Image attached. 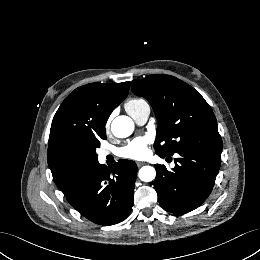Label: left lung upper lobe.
<instances>
[{
	"mask_svg": "<svg viewBox=\"0 0 260 260\" xmlns=\"http://www.w3.org/2000/svg\"><path fill=\"white\" fill-rule=\"evenodd\" d=\"M132 91L146 98L157 117V155L190 149L222 150L215 115L193 87L170 75H150L131 82Z\"/></svg>",
	"mask_w": 260,
	"mask_h": 260,
	"instance_id": "1",
	"label": "left lung upper lobe"
}]
</instances>
